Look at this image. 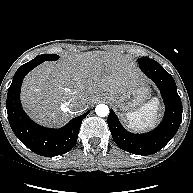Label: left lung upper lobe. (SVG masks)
I'll use <instances>...</instances> for the list:
<instances>
[{
	"mask_svg": "<svg viewBox=\"0 0 193 193\" xmlns=\"http://www.w3.org/2000/svg\"><path fill=\"white\" fill-rule=\"evenodd\" d=\"M148 60H150V58H140V59H138V62L141 63V62H145Z\"/></svg>",
	"mask_w": 193,
	"mask_h": 193,
	"instance_id": "left-lung-upper-lobe-1",
	"label": "left lung upper lobe"
}]
</instances>
